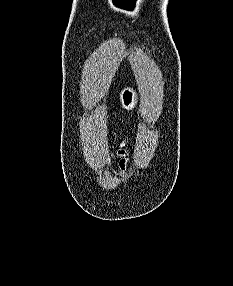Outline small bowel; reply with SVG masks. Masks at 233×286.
Segmentation results:
<instances>
[{"label":"small bowel","instance_id":"small-bowel-1","mask_svg":"<svg viewBox=\"0 0 233 286\" xmlns=\"http://www.w3.org/2000/svg\"><path fill=\"white\" fill-rule=\"evenodd\" d=\"M114 155H116L120 158V160L118 162L119 168L121 170H125L126 165H127L128 151L124 148V146H121V148Z\"/></svg>","mask_w":233,"mask_h":286}]
</instances>
